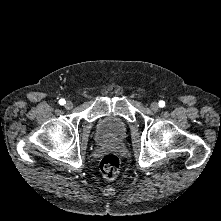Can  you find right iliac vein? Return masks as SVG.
<instances>
[{
  "label": "right iliac vein",
  "mask_w": 221,
  "mask_h": 221,
  "mask_svg": "<svg viewBox=\"0 0 221 221\" xmlns=\"http://www.w3.org/2000/svg\"><path fill=\"white\" fill-rule=\"evenodd\" d=\"M65 108H66L67 110L72 109V108H73V103H72L71 101H67V102L65 103Z\"/></svg>",
  "instance_id": "63e3f726"
}]
</instances>
